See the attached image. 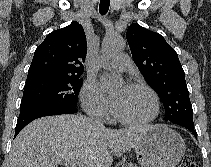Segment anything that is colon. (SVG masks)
I'll use <instances>...</instances> for the list:
<instances>
[{
  "instance_id": "5ec220e1",
  "label": "colon",
  "mask_w": 211,
  "mask_h": 167,
  "mask_svg": "<svg viewBox=\"0 0 211 167\" xmlns=\"http://www.w3.org/2000/svg\"><path fill=\"white\" fill-rule=\"evenodd\" d=\"M179 167H197L194 157L186 156L182 162L180 163Z\"/></svg>"
}]
</instances>
